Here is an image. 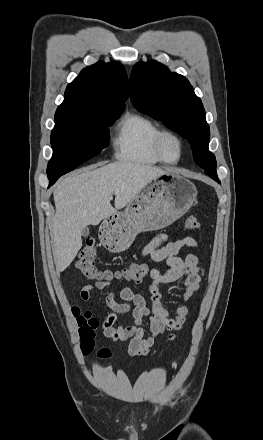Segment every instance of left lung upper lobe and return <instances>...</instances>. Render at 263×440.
<instances>
[{"mask_svg": "<svg viewBox=\"0 0 263 440\" xmlns=\"http://www.w3.org/2000/svg\"><path fill=\"white\" fill-rule=\"evenodd\" d=\"M130 97L141 112L163 123L191 144L195 162L218 178L216 159L208 150L210 130L203 104L189 81L156 61L138 62L130 76Z\"/></svg>", "mask_w": 263, "mask_h": 440, "instance_id": "1", "label": "left lung upper lobe"}]
</instances>
